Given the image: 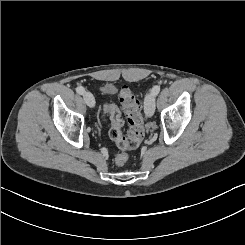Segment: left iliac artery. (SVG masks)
<instances>
[{"instance_id":"44dca946","label":"left iliac artery","mask_w":245,"mask_h":245,"mask_svg":"<svg viewBox=\"0 0 245 245\" xmlns=\"http://www.w3.org/2000/svg\"><path fill=\"white\" fill-rule=\"evenodd\" d=\"M160 89H161L160 85H155L152 88V92L154 93L155 96L160 92Z\"/></svg>"}]
</instances>
